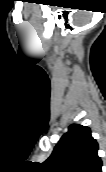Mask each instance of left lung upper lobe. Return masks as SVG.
<instances>
[{
    "instance_id": "5c2ea615",
    "label": "left lung upper lobe",
    "mask_w": 106,
    "mask_h": 172,
    "mask_svg": "<svg viewBox=\"0 0 106 172\" xmlns=\"http://www.w3.org/2000/svg\"><path fill=\"white\" fill-rule=\"evenodd\" d=\"M45 172H102L98 143L87 126L72 124L51 156L42 164Z\"/></svg>"
}]
</instances>
